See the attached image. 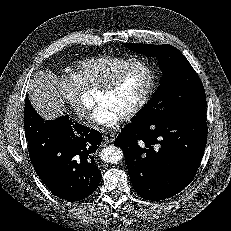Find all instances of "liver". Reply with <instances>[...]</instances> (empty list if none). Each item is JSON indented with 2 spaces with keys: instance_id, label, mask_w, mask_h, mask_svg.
Wrapping results in <instances>:
<instances>
[{
  "instance_id": "1",
  "label": "liver",
  "mask_w": 231,
  "mask_h": 231,
  "mask_svg": "<svg viewBox=\"0 0 231 231\" xmlns=\"http://www.w3.org/2000/svg\"><path fill=\"white\" fill-rule=\"evenodd\" d=\"M29 98L33 108L45 119L54 120L66 112L57 76L49 70H39L30 80Z\"/></svg>"
}]
</instances>
